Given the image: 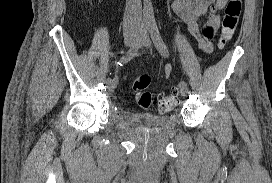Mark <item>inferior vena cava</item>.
Wrapping results in <instances>:
<instances>
[{"instance_id": "obj_1", "label": "inferior vena cava", "mask_w": 272, "mask_h": 183, "mask_svg": "<svg viewBox=\"0 0 272 183\" xmlns=\"http://www.w3.org/2000/svg\"><path fill=\"white\" fill-rule=\"evenodd\" d=\"M142 18L141 0H126L123 19L124 30L138 29Z\"/></svg>"}]
</instances>
